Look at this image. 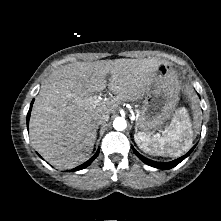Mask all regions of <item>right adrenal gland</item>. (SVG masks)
I'll list each match as a JSON object with an SVG mask.
<instances>
[{
    "instance_id": "obj_1",
    "label": "right adrenal gland",
    "mask_w": 221,
    "mask_h": 221,
    "mask_svg": "<svg viewBox=\"0 0 221 221\" xmlns=\"http://www.w3.org/2000/svg\"><path fill=\"white\" fill-rule=\"evenodd\" d=\"M97 129H98V127H96L95 132L97 131ZM96 134H97V132H96Z\"/></svg>"
}]
</instances>
